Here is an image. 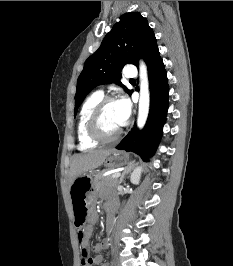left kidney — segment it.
<instances>
[{
    "label": "left kidney",
    "mask_w": 233,
    "mask_h": 266,
    "mask_svg": "<svg viewBox=\"0 0 233 266\" xmlns=\"http://www.w3.org/2000/svg\"><path fill=\"white\" fill-rule=\"evenodd\" d=\"M141 172H142V167H137L134 169L130 177L131 183L139 184Z\"/></svg>",
    "instance_id": "left-kidney-1"
}]
</instances>
